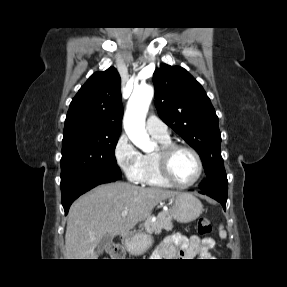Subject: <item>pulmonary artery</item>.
Here are the masks:
<instances>
[{
	"instance_id": "1",
	"label": "pulmonary artery",
	"mask_w": 287,
	"mask_h": 287,
	"mask_svg": "<svg viewBox=\"0 0 287 287\" xmlns=\"http://www.w3.org/2000/svg\"><path fill=\"white\" fill-rule=\"evenodd\" d=\"M146 129L153 137L160 139L169 138L168 126L155 115H150L147 118Z\"/></svg>"
}]
</instances>
